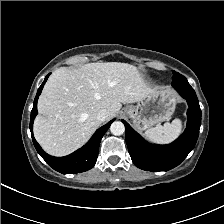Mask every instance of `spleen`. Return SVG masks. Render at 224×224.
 I'll use <instances>...</instances> for the list:
<instances>
[{
	"mask_svg": "<svg viewBox=\"0 0 224 224\" xmlns=\"http://www.w3.org/2000/svg\"><path fill=\"white\" fill-rule=\"evenodd\" d=\"M182 132V121L174 119L171 123L157 125L145 131L144 136L154 143H170L174 141Z\"/></svg>",
	"mask_w": 224,
	"mask_h": 224,
	"instance_id": "obj_1",
	"label": "spleen"
}]
</instances>
